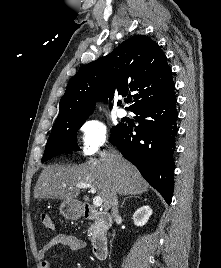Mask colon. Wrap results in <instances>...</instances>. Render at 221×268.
Segmentation results:
<instances>
[{"instance_id":"colon-1","label":"colon","mask_w":221,"mask_h":268,"mask_svg":"<svg viewBox=\"0 0 221 268\" xmlns=\"http://www.w3.org/2000/svg\"><path fill=\"white\" fill-rule=\"evenodd\" d=\"M41 222L47 229H50V230L54 229L53 220L48 213L41 214Z\"/></svg>"}]
</instances>
